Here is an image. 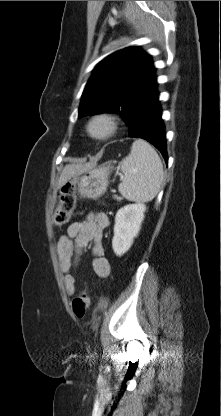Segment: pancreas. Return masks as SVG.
Wrapping results in <instances>:
<instances>
[{"mask_svg": "<svg viewBox=\"0 0 221 416\" xmlns=\"http://www.w3.org/2000/svg\"><path fill=\"white\" fill-rule=\"evenodd\" d=\"M114 199H116L117 201H121L122 200V198L120 196H118V195H114Z\"/></svg>", "mask_w": 221, "mask_h": 416, "instance_id": "pancreas-1", "label": "pancreas"}]
</instances>
